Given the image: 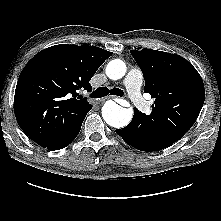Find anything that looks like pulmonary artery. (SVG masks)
<instances>
[{
    "instance_id": "obj_1",
    "label": "pulmonary artery",
    "mask_w": 221,
    "mask_h": 221,
    "mask_svg": "<svg viewBox=\"0 0 221 221\" xmlns=\"http://www.w3.org/2000/svg\"><path fill=\"white\" fill-rule=\"evenodd\" d=\"M143 82L142 72L138 68H132L125 77L124 85L127 89L128 95L134 105L142 112H150V104L146 101L140 92Z\"/></svg>"
}]
</instances>
